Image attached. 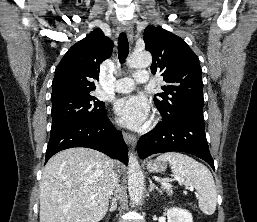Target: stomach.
<instances>
[{"mask_svg": "<svg viewBox=\"0 0 257 222\" xmlns=\"http://www.w3.org/2000/svg\"><path fill=\"white\" fill-rule=\"evenodd\" d=\"M147 169L152 173H160L166 169L164 161L154 160L147 163Z\"/></svg>", "mask_w": 257, "mask_h": 222, "instance_id": "stomach-1", "label": "stomach"}]
</instances>
